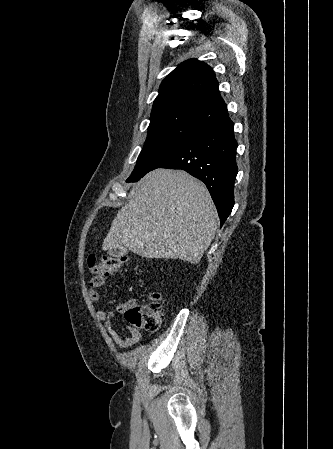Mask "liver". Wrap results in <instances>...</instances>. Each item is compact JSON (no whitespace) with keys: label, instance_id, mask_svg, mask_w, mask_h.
Instances as JSON below:
<instances>
[{"label":"liver","instance_id":"obj_1","mask_svg":"<svg viewBox=\"0 0 333 449\" xmlns=\"http://www.w3.org/2000/svg\"><path fill=\"white\" fill-rule=\"evenodd\" d=\"M218 214L205 185L185 171L156 169L133 187L102 245L146 258L198 263L213 240Z\"/></svg>","mask_w":333,"mask_h":449}]
</instances>
